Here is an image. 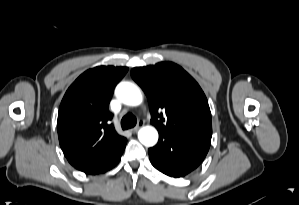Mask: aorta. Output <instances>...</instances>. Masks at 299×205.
Returning <instances> with one entry per match:
<instances>
[{"label":"aorta","mask_w":299,"mask_h":205,"mask_svg":"<svg viewBox=\"0 0 299 205\" xmlns=\"http://www.w3.org/2000/svg\"><path fill=\"white\" fill-rule=\"evenodd\" d=\"M115 93L120 101L126 105L137 106L143 101L139 88L130 82L119 83ZM138 139L145 146H154L158 141V132L152 126H145L139 130Z\"/></svg>","instance_id":"762f6f07"}]
</instances>
